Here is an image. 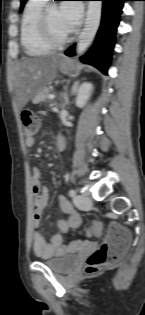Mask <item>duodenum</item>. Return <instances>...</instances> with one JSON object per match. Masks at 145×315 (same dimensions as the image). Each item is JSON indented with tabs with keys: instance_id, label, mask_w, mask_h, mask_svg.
Segmentation results:
<instances>
[{
	"instance_id": "1",
	"label": "duodenum",
	"mask_w": 145,
	"mask_h": 315,
	"mask_svg": "<svg viewBox=\"0 0 145 315\" xmlns=\"http://www.w3.org/2000/svg\"><path fill=\"white\" fill-rule=\"evenodd\" d=\"M57 149L59 150V151H63V149H64V140H57Z\"/></svg>"
}]
</instances>
